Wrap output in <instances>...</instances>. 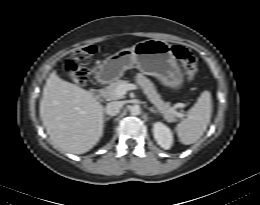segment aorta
I'll return each mask as SVG.
<instances>
[{"label": "aorta", "instance_id": "aorta-1", "mask_svg": "<svg viewBox=\"0 0 260 205\" xmlns=\"http://www.w3.org/2000/svg\"><path fill=\"white\" fill-rule=\"evenodd\" d=\"M130 113L134 116L139 115L141 113V108L139 105H133L129 108Z\"/></svg>", "mask_w": 260, "mask_h": 205}]
</instances>
